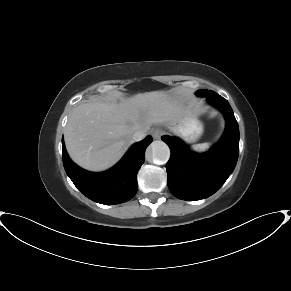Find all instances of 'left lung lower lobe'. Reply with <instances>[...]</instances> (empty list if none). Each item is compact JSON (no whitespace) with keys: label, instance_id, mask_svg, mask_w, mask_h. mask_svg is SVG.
<instances>
[{"label":"left lung lower lobe","instance_id":"obj_1","mask_svg":"<svg viewBox=\"0 0 291 291\" xmlns=\"http://www.w3.org/2000/svg\"><path fill=\"white\" fill-rule=\"evenodd\" d=\"M205 96L226 119V130L218 144L207 153L196 154L180 139L162 137L171 150L166 164L168 187L182 200H200L214 194L231 175L238 160L239 127L230 104L211 90Z\"/></svg>","mask_w":291,"mask_h":291}]
</instances>
